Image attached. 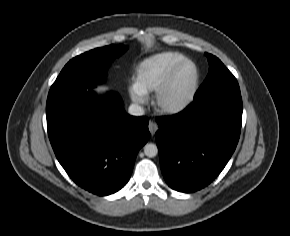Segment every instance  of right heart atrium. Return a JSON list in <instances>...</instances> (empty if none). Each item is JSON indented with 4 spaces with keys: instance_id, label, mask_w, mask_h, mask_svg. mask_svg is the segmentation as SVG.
I'll return each instance as SVG.
<instances>
[{
    "instance_id": "1",
    "label": "right heart atrium",
    "mask_w": 290,
    "mask_h": 236,
    "mask_svg": "<svg viewBox=\"0 0 290 236\" xmlns=\"http://www.w3.org/2000/svg\"><path fill=\"white\" fill-rule=\"evenodd\" d=\"M129 94L131 99L137 103L142 104L145 102L146 95L145 92L142 91L136 83H133L129 86Z\"/></svg>"
}]
</instances>
